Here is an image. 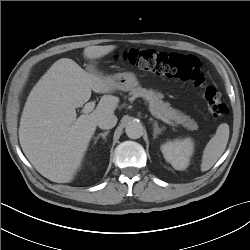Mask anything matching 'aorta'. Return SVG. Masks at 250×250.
Wrapping results in <instances>:
<instances>
[{
  "label": "aorta",
  "mask_w": 250,
  "mask_h": 250,
  "mask_svg": "<svg viewBox=\"0 0 250 250\" xmlns=\"http://www.w3.org/2000/svg\"><path fill=\"white\" fill-rule=\"evenodd\" d=\"M125 132L131 139H138L143 135V125L137 120H131L126 124Z\"/></svg>",
  "instance_id": "762f6f07"
}]
</instances>
